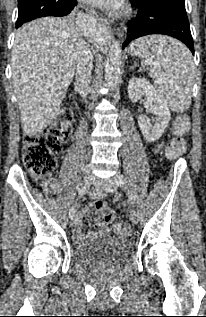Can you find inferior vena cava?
<instances>
[{"instance_id":"obj_1","label":"inferior vena cava","mask_w":206,"mask_h":317,"mask_svg":"<svg viewBox=\"0 0 206 317\" xmlns=\"http://www.w3.org/2000/svg\"><path fill=\"white\" fill-rule=\"evenodd\" d=\"M75 60L77 63L76 83L79 93L86 99L87 89L91 81L93 57L84 41H81L79 44L78 50L75 53Z\"/></svg>"}]
</instances>
